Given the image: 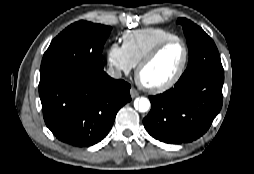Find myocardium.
<instances>
[{"mask_svg": "<svg viewBox=\"0 0 254 174\" xmlns=\"http://www.w3.org/2000/svg\"><path fill=\"white\" fill-rule=\"evenodd\" d=\"M174 42H179L182 44L183 48H184V57L182 60V63L178 69V71L176 72V74L169 79L168 81L161 83V84H157V85H149L144 83L141 78H140V74L142 72V70L149 65L158 55L159 53L169 44L174 43ZM188 60H189V47L187 45V43L180 37H174V38H170L164 41H161L160 43H158L157 45H155L142 59L141 61L137 64V68L135 71V78L137 83L144 88L145 90H148L150 92L153 93H161L164 91L169 90L170 88H172L174 85H176L178 83V81L181 79V77L183 76L187 64H188Z\"/></svg>", "mask_w": 254, "mask_h": 174, "instance_id": "obj_1", "label": "myocardium"}]
</instances>
